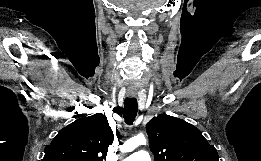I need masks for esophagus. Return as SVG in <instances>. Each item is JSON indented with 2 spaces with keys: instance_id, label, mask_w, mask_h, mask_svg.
<instances>
[{
  "instance_id": "34e87169",
  "label": "esophagus",
  "mask_w": 261,
  "mask_h": 161,
  "mask_svg": "<svg viewBox=\"0 0 261 161\" xmlns=\"http://www.w3.org/2000/svg\"><path fill=\"white\" fill-rule=\"evenodd\" d=\"M127 95H128V97H130V98L136 97V94H134V93H128Z\"/></svg>"
}]
</instances>
